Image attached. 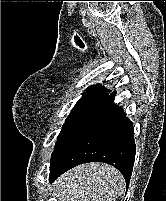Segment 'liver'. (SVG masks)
<instances>
[{"instance_id":"liver-1","label":"liver","mask_w":166,"mask_h":201,"mask_svg":"<svg viewBox=\"0 0 166 201\" xmlns=\"http://www.w3.org/2000/svg\"><path fill=\"white\" fill-rule=\"evenodd\" d=\"M124 178L105 163L82 164L62 174L54 183L55 201H116Z\"/></svg>"}]
</instances>
